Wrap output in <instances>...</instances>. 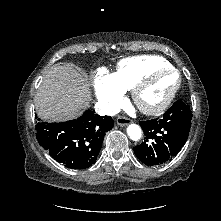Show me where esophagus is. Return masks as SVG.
<instances>
[{
  "instance_id": "obj_1",
  "label": "esophagus",
  "mask_w": 221,
  "mask_h": 221,
  "mask_svg": "<svg viewBox=\"0 0 221 221\" xmlns=\"http://www.w3.org/2000/svg\"><path fill=\"white\" fill-rule=\"evenodd\" d=\"M116 123L119 125V126H126L130 123V120L128 118H125V117H118L116 119Z\"/></svg>"
}]
</instances>
